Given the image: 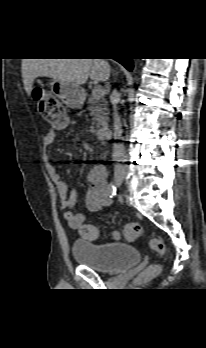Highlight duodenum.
<instances>
[{"mask_svg": "<svg viewBox=\"0 0 206 348\" xmlns=\"http://www.w3.org/2000/svg\"><path fill=\"white\" fill-rule=\"evenodd\" d=\"M112 129L110 127H103L99 132L98 136L101 139H109L112 136Z\"/></svg>", "mask_w": 206, "mask_h": 348, "instance_id": "obj_1", "label": "duodenum"}]
</instances>
